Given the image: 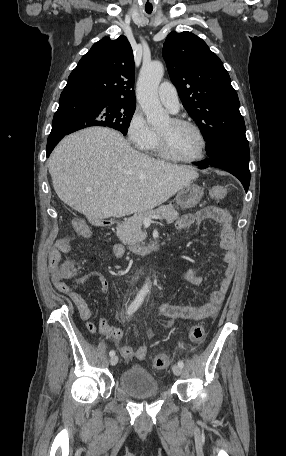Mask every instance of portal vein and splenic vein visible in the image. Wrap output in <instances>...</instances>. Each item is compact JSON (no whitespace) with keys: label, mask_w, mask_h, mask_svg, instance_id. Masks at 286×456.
Here are the masks:
<instances>
[{"label":"portal vein and splenic vein","mask_w":286,"mask_h":456,"mask_svg":"<svg viewBox=\"0 0 286 456\" xmlns=\"http://www.w3.org/2000/svg\"><path fill=\"white\" fill-rule=\"evenodd\" d=\"M87 190L91 191L92 188H87ZM151 219H162V218L160 216H156V215H154V216H146V217H144V223H148V224L151 223Z\"/></svg>","instance_id":"obj_1"}]
</instances>
